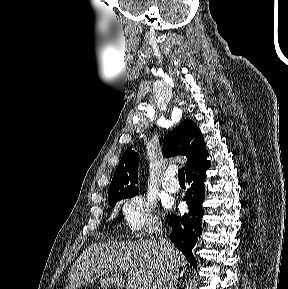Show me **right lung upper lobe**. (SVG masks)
Instances as JSON below:
<instances>
[{
	"mask_svg": "<svg viewBox=\"0 0 288 289\" xmlns=\"http://www.w3.org/2000/svg\"><path fill=\"white\" fill-rule=\"evenodd\" d=\"M166 157L186 156L185 172L187 173L208 156L201 131L191 120L183 121L163 140ZM138 183V153L127 148L115 171L109 191L136 189Z\"/></svg>",
	"mask_w": 288,
	"mask_h": 289,
	"instance_id": "cb5924a9",
	"label": "right lung upper lobe"
}]
</instances>
